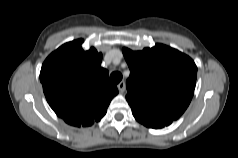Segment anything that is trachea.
<instances>
[{"mask_svg": "<svg viewBox=\"0 0 238 158\" xmlns=\"http://www.w3.org/2000/svg\"><path fill=\"white\" fill-rule=\"evenodd\" d=\"M110 78L113 83L118 84L122 80V74L116 71L111 73Z\"/></svg>", "mask_w": 238, "mask_h": 158, "instance_id": "obj_1", "label": "trachea"}]
</instances>
